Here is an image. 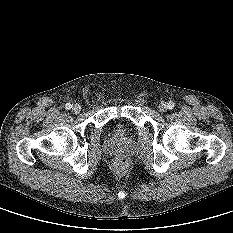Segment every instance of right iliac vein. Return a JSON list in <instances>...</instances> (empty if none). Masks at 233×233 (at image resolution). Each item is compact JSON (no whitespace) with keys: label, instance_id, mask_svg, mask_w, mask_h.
Segmentation results:
<instances>
[{"label":"right iliac vein","instance_id":"1","mask_svg":"<svg viewBox=\"0 0 233 233\" xmlns=\"http://www.w3.org/2000/svg\"><path fill=\"white\" fill-rule=\"evenodd\" d=\"M72 111L74 113H79L81 111V106L77 103H75L73 106H72Z\"/></svg>","mask_w":233,"mask_h":233}]
</instances>
